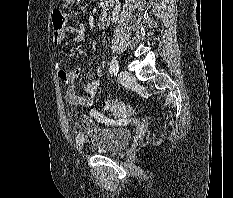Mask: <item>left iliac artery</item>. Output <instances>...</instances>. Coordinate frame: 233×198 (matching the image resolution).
<instances>
[{
  "label": "left iliac artery",
  "instance_id": "obj_1",
  "mask_svg": "<svg viewBox=\"0 0 233 198\" xmlns=\"http://www.w3.org/2000/svg\"><path fill=\"white\" fill-rule=\"evenodd\" d=\"M119 70V63L118 60L116 59V57H113L111 62H110V66H109V72L110 74H117Z\"/></svg>",
  "mask_w": 233,
  "mask_h": 198
}]
</instances>
